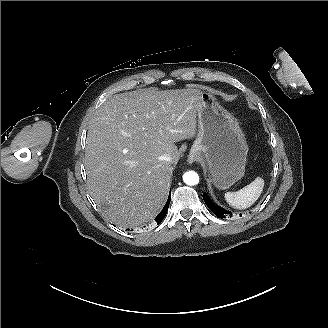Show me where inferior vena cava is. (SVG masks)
<instances>
[{"label":"inferior vena cava","instance_id":"1","mask_svg":"<svg viewBox=\"0 0 328 328\" xmlns=\"http://www.w3.org/2000/svg\"><path fill=\"white\" fill-rule=\"evenodd\" d=\"M159 160L170 162L171 156L169 154L165 153V154L159 156Z\"/></svg>","mask_w":328,"mask_h":328}]
</instances>
